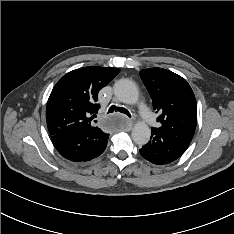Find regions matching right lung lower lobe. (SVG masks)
I'll use <instances>...</instances> for the list:
<instances>
[{"instance_id": "98d812e1", "label": "right lung lower lobe", "mask_w": 234, "mask_h": 234, "mask_svg": "<svg viewBox=\"0 0 234 234\" xmlns=\"http://www.w3.org/2000/svg\"><path fill=\"white\" fill-rule=\"evenodd\" d=\"M109 134L98 127H83L69 130L51 137L58 152L74 162L89 161L101 155Z\"/></svg>"}]
</instances>
